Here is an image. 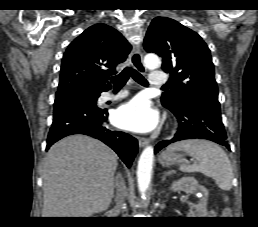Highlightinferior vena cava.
<instances>
[{
	"label": "inferior vena cava",
	"instance_id": "602c4592",
	"mask_svg": "<svg viewBox=\"0 0 258 227\" xmlns=\"http://www.w3.org/2000/svg\"><path fill=\"white\" fill-rule=\"evenodd\" d=\"M117 193H116V204L118 208H121L124 199V192L126 189L125 183L123 179L116 180Z\"/></svg>",
	"mask_w": 258,
	"mask_h": 227
}]
</instances>
